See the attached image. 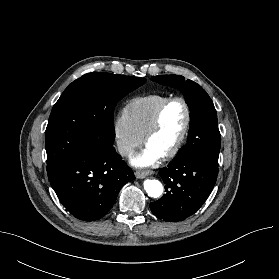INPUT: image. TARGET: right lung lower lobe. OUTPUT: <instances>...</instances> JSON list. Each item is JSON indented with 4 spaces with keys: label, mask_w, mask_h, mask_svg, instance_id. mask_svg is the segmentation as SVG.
Wrapping results in <instances>:
<instances>
[{
    "label": "right lung lower lobe",
    "mask_w": 279,
    "mask_h": 279,
    "mask_svg": "<svg viewBox=\"0 0 279 279\" xmlns=\"http://www.w3.org/2000/svg\"><path fill=\"white\" fill-rule=\"evenodd\" d=\"M133 179V171L111 145L99 151H78L49 181L60 202L74 217L96 221L108 213L122 186Z\"/></svg>",
    "instance_id": "98d812e1"
}]
</instances>
